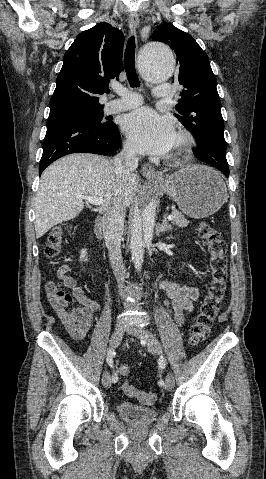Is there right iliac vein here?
I'll use <instances>...</instances> for the list:
<instances>
[{
  "label": "right iliac vein",
  "instance_id": "1",
  "mask_svg": "<svg viewBox=\"0 0 266 479\" xmlns=\"http://www.w3.org/2000/svg\"><path fill=\"white\" fill-rule=\"evenodd\" d=\"M123 334H124V326L122 324H119L113 331L111 339H110V346L112 349H115L119 345L120 341L122 340ZM102 383L105 388H110L111 379L108 373H105L103 375Z\"/></svg>",
  "mask_w": 266,
  "mask_h": 479
}]
</instances>
